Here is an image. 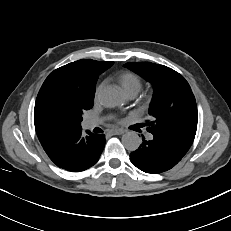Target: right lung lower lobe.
Instances as JSON below:
<instances>
[{
	"mask_svg": "<svg viewBox=\"0 0 231 231\" xmlns=\"http://www.w3.org/2000/svg\"><path fill=\"white\" fill-rule=\"evenodd\" d=\"M82 136V128L61 134L42 144L49 158L60 168L72 172L84 171L99 159L104 146L105 136L87 132Z\"/></svg>",
	"mask_w": 231,
	"mask_h": 231,
	"instance_id": "obj_1",
	"label": "right lung lower lobe"
}]
</instances>
